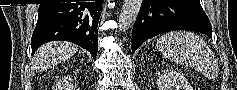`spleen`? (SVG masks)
<instances>
[{
	"instance_id": "spleen-1",
	"label": "spleen",
	"mask_w": 237,
	"mask_h": 90,
	"mask_svg": "<svg viewBox=\"0 0 237 90\" xmlns=\"http://www.w3.org/2000/svg\"><path fill=\"white\" fill-rule=\"evenodd\" d=\"M156 48L164 58L176 64H187L203 76H208L216 68V60L210 48L193 32L163 34L157 40Z\"/></svg>"
}]
</instances>
